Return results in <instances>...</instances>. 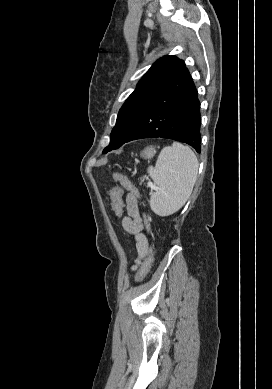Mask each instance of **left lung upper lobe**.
Here are the masks:
<instances>
[{
	"mask_svg": "<svg viewBox=\"0 0 272 389\" xmlns=\"http://www.w3.org/2000/svg\"><path fill=\"white\" fill-rule=\"evenodd\" d=\"M185 67L184 61L175 56H164L151 66L121 107L110 135V143L103 153L123 145L142 118L151 99Z\"/></svg>",
	"mask_w": 272,
	"mask_h": 389,
	"instance_id": "5c2ea615",
	"label": "left lung upper lobe"
}]
</instances>
